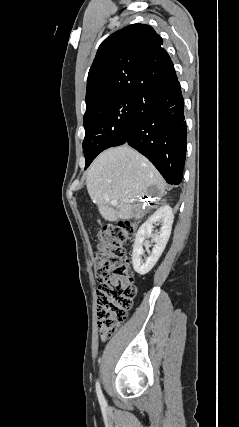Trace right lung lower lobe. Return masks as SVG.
Masks as SVG:
<instances>
[{
  "mask_svg": "<svg viewBox=\"0 0 239 427\" xmlns=\"http://www.w3.org/2000/svg\"><path fill=\"white\" fill-rule=\"evenodd\" d=\"M186 134L184 100L175 78L151 87L138 97L123 144L146 156L169 184H180Z\"/></svg>",
  "mask_w": 239,
  "mask_h": 427,
  "instance_id": "1",
  "label": "right lung lower lobe"
}]
</instances>
